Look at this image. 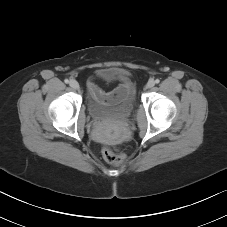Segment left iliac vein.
Segmentation results:
<instances>
[{
    "label": "left iliac vein",
    "mask_w": 227,
    "mask_h": 227,
    "mask_svg": "<svg viewBox=\"0 0 227 227\" xmlns=\"http://www.w3.org/2000/svg\"><path fill=\"white\" fill-rule=\"evenodd\" d=\"M155 85V81L154 80H149L147 83V88H152Z\"/></svg>",
    "instance_id": "left-iliac-vein-1"
}]
</instances>
